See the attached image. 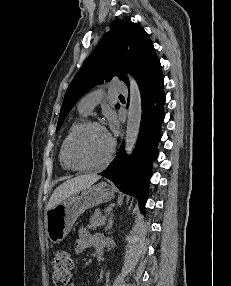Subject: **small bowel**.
Masks as SVG:
<instances>
[{
    "instance_id": "c3829d8e",
    "label": "small bowel",
    "mask_w": 231,
    "mask_h": 286,
    "mask_svg": "<svg viewBox=\"0 0 231 286\" xmlns=\"http://www.w3.org/2000/svg\"><path fill=\"white\" fill-rule=\"evenodd\" d=\"M103 237L99 234H92L86 228L82 227L79 231V236L75 241V251L82 253L90 247L97 248L98 242ZM71 286H74L73 284Z\"/></svg>"
}]
</instances>
